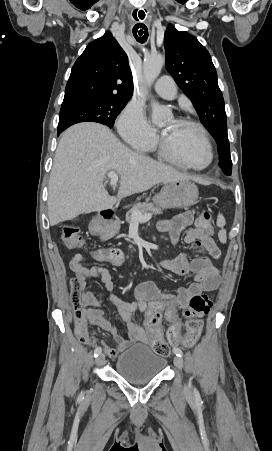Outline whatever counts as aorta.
<instances>
[{"instance_id":"1","label":"aorta","mask_w":272,"mask_h":451,"mask_svg":"<svg viewBox=\"0 0 272 451\" xmlns=\"http://www.w3.org/2000/svg\"><path fill=\"white\" fill-rule=\"evenodd\" d=\"M164 64L165 58L161 54H152V56H146L144 58L143 74L148 86H151L154 80L158 78ZM151 106L152 122L153 124H160L165 118L164 108L163 106H159L158 102H154V100Z\"/></svg>"}]
</instances>
